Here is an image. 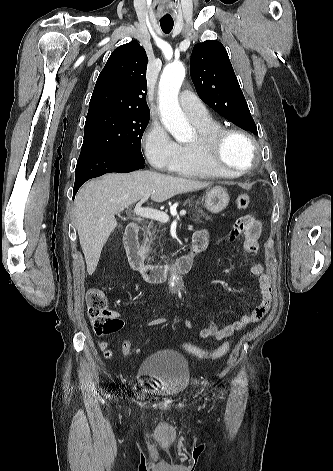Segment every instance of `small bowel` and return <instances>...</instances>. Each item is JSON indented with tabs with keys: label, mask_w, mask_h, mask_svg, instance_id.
<instances>
[{
	"label": "small bowel",
	"mask_w": 333,
	"mask_h": 471,
	"mask_svg": "<svg viewBox=\"0 0 333 471\" xmlns=\"http://www.w3.org/2000/svg\"><path fill=\"white\" fill-rule=\"evenodd\" d=\"M261 223L250 215L240 217L235 223L232 231L230 232L229 239L236 240L239 236H243V249L246 253L256 255L259 250V236L261 234ZM208 234L204 230L197 231L193 235L192 244L202 247L203 250L208 246ZM251 273L257 277L259 284V291L261 295L260 303L254 310L248 314L243 315L237 321L219 328L217 324L210 320L207 326L202 328L199 335L203 339L215 338L223 340L231 336L234 332L239 331L250 325L251 323L260 321L269 311L272 301V287L271 279L265 271L263 265L255 263L250 268ZM114 316L119 317L118 313H113ZM168 321L166 317H157L147 322L148 326L162 325ZM184 326L188 329L191 328L189 320H184ZM98 346L103 351L104 357L107 359L112 358L113 353L109 349L108 342L104 339L98 341Z\"/></svg>",
	"instance_id": "1"
}]
</instances>
